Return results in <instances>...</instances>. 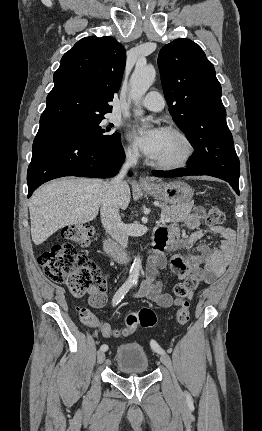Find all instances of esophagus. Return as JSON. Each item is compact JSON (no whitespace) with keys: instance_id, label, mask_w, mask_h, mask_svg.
<instances>
[{"instance_id":"1","label":"esophagus","mask_w":262,"mask_h":431,"mask_svg":"<svg viewBox=\"0 0 262 431\" xmlns=\"http://www.w3.org/2000/svg\"><path fill=\"white\" fill-rule=\"evenodd\" d=\"M139 183H140V185H141V186H148V185H151V181H150V179H149L147 176H145V175H142V176L140 177V179H139Z\"/></svg>"}]
</instances>
